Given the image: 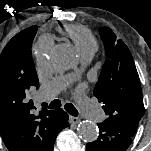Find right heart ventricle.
I'll use <instances>...</instances> for the list:
<instances>
[{
	"label": "right heart ventricle",
	"instance_id": "obj_1",
	"mask_svg": "<svg viewBox=\"0 0 151 151\" xmlns=\"http://www.w3.org/2000/svg\"><path fill=\"white\" fill-rule=\"evenodd\" d=\"M61 31L72 40L81 56L97 50V40L86 27L71 24L64 26Z\"/></svg>",
	"mask_w": 151,
	"mask_h": 151
}]
</instances>
